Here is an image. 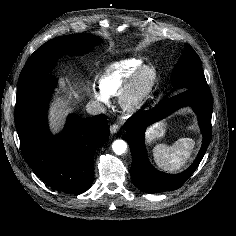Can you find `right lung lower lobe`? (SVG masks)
Wrapping results in <instances>:
<instances>
[{
	"instance_id": "1",
	"label": "right lung lower lobe",
	"mask_w": 236,
	"mask_h": 236,
	"mask_svg": "<svg viewBox=\"0 0 236 236\" xmlns=\"http://www.w3.org/2000/svg\"><path fill=\"white\" fill-rule=\"evenodd\" d=\"M56 78L43 74L17 86L15 125L25 161L47 185L81 194L92 184L93 156L109 137L104 114L89 118L69 116L63 132L52 136L46 112Z\"/></svg>"
}]
</instances>
